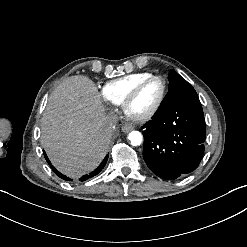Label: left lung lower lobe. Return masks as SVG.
Here are the masks:
<instances>
[{"label":"left lung lower lobe","instance_id":"0a47b994","mask_svg":"<svg viewBox=\"0 0 247 247\" xmlns=\"http://www.w3.org/2000/svg\"><path fill=\"white\" fill-rule=\"evenodd\" d=\"M143 129V158L157 176L173 180L198 167L206 137L200 101L173 103L157 111Z\"/></svg>","mask_w":247,"mask_h":247}]
</instances>
